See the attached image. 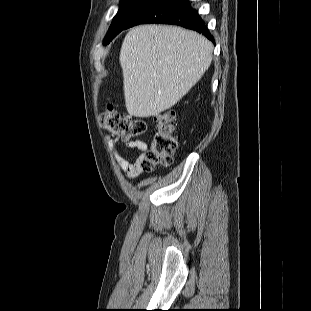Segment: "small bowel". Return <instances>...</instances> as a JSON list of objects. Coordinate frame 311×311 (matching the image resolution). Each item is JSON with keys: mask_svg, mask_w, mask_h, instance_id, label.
<instances>
[{"mask_svg": "<svg viewBox=\"0 0 311 311\" xmlns=\"http://www.w3.org/2000/svg\"><path fill=\"white\" fill-rule=\"evenodd\" d=\"M120 141H124L128 148L137 149L139 151V155L134 162H130L117 150V143ZM107 143L116 157L120 170L126 175L127 178L133 179L142 172L141 162L148 149V146L144 141L125 140L122 137H107Z\"/></svg>", "mask_w": 311, "mask_h": 311, "instance_id": "obj_1", "label": "small bowel"}]
</instances>
